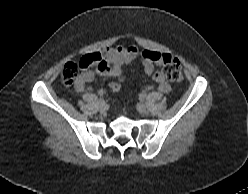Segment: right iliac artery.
Wrapping results in <instances>:
<instances>
[{
    "mask_svg": "<svg viewBox=\"0 0 248 194\" xmlns=\"http://www.w3.org/2000/svg\"><path fill=\"white\" fill-rule=\"evenodd\" d=\"M100 94H102V93H100ZM99 101H104V100H103L102 98H100V99L98 100V102H99Z\"/></svg>",
    "mask_w": 248,
    "mask_h": 194,
    "instance_id": "82829eb1",
    "label": "right iliac artery"
}]
</instances>
